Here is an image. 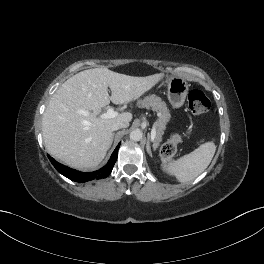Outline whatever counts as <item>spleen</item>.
Wrapping results in <instances>:
<instances>
[{
	"instance_id": "1",
	"label": "spleen",
	"mask_w": 264,
	"mask_h": 264,
	"mask_svg": "<svg viewBox=\"0 0 264 264\" xmlns=\"http://www.w3.org/2000/svg\"><path fill=\"white\" fill-rule=\"evenodd\" d=\"M215 151V144L206 142L178 160L163 164L162 169L168 174L175 176L181 183L190 182L209 166Z\"/></svg>"
}]
</instances>
